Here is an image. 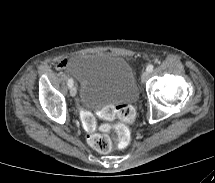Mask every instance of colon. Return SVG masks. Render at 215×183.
Segmentation results:
<instances>
[{
	"label": "colon",
	"mask_w": 215,
	"mask_h": 183,
	"mask_svg": "<svg viewBox=\"0 0 215 183\" xmlns=\"http://www.w3.org/2000/svg\"><path fill=\"white\" fill-rule=\"evenodd\" d=\"M99 115L106 119H112L117 116L119 121L113 124H102L100 126V133H90L88 135V144L99 152H108L112 148V141L107 133L114 131L118 135V147L120 149L127 147L131 139L130 124L135 116L134 108L130 104L108 106ZM82 122L87 130H93L94 120L91 115L83 114Z\"/></svg>",
	"instance_id": "5ec220e1"
}]
</instances>
